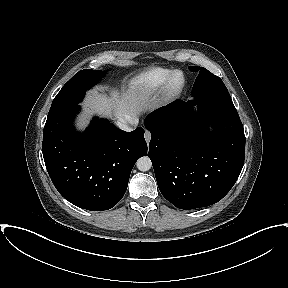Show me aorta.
Returning <instances> with one entry per match:
<instances>
[{
    "instance_id": "1",
    "label": "aorta",
    "mask_w": 288,
    "mask_h": 288,
    "mask_svg": "<svg viewBox=\"0 0 288 288\" xmlns=\"http://www.w3.org/2000/svg\"><path fill=\"white\" fill-rule=\"evenodd\" d=\"M136 166H137L138 170H140L142 172H146V171L151 169L152 162H151L149 157L142 156L137 160Z\"/></svg>"
}]
</instances>
